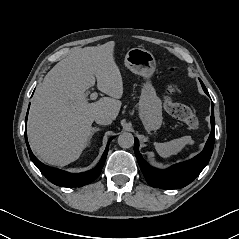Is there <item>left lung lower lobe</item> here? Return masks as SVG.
<instances>
[{
	"instance_id": "obj_1",
	"label": "left lung lower lobe",
	"mask_w": 239,
	"mask_h": 239,
	"mask_svg": "<svg viewBox=\"0 0 239 239\" xmlns=\"http://www.w3.org/2000/svg\"><path fill=\"white\" fill-rule=\"evenodd\" d=\"M202 88L204 92L209 95L204 84H202ZM214 141L215 120L212 103L211 133L209 139L206 142L204 150L191 160L178 163L166 170H159L150 166L143 159L141 153L139 152V141L137 138H135L134 142V152L145 179L152 187L162 189H179L191 183L206 167L213 152Z\"/></svg>"
}]
</instances>
